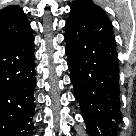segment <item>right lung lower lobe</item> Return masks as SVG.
Returning <instances> with one entry per match:
<instances>
[{"instance_id": "1", "label": "right lung lower lobe", "mask_w": 136, "mask_h": 136, "mask_svg": "<svg viewBox=\"0 0 136 136\" xmlns=\"http://www.w3.org/2000/svg\"><path fill=\"white\" fill-rule=\"evenodd\" d=\"M33 35L0 45V136H31L34 114Z\"/></svg>"}]
</instances>
